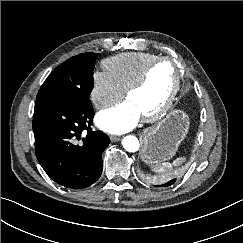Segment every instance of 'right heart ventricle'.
<instances>
[{
  "label": "right heart ventricle",
  "mask_w": 243,
  "mask_h": 243,
  "mask_svg": "<svg viewBox=\"0 0 243 243\" xmlns=\"http://www.w3.org/2000/svg\"><path fill=\"white\" fill-rule=\"evenodd\" d=\"M156 57L158 56L155 54L145 52L122 53L106 59L103 65L118 85L125 90Z\"/></svg>",
  "instance_id": "obj_1"
}]
</instances>
